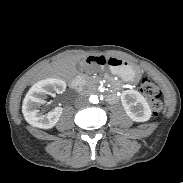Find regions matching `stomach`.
<instances>
[{
	"mask_svg": "<svg viewBox=\"0 0 183 183\" xmlns=\"http://www.w3.org/2000/svg\"><path fill=\"white\" fill-rule=\"evenodd\" d=\"M101 64L113 75H118L122 79L129 82H138L141 77V69L138 66L133 65L121 58L104 56Z\"/></svg>",
	"mask_w": 183,
	"mask_h": 183,
	"instance_id": "stomach-1",
	"label": "stomach"
}]
</instances>
